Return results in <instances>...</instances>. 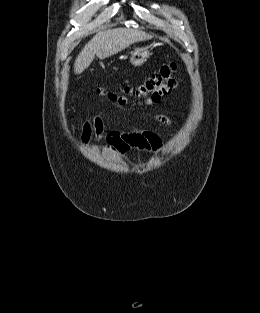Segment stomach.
Here are the masks:
<instances>
[{"instance_id":"0dacf381","label":"stomach","mask_w":260,"mask_h":313,"mask_svg":"<svg viewBox=\"0 0 260 313\" xmlns=\"http://www.w3.org/2000/svg\"><path fill=\"white\" fill-rule=\"evenodd\" d=\"M151 55L152 52L149 46L135 47L129 54V63L135 67L141 66Z\"/></svg>"}]
</instances>
